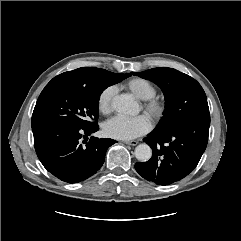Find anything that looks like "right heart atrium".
<instances>
[{
    "mask_svg": "<svg viewBox=\"0 0 241 241\" xmlns=\"http://www.w3.org/2000/svg\"><path fill=\"white\" fill-rule=\"evenodd\" d=\"M115 94L116 88L114 86H108L100 92L97 99V107L102 114L108 115L111 113Z\"/></svg>",
    "mask_w": 241,
    "mask_h": 241,
    "instance_id": "obj_1",
    "label": "right heart atrium"
}]
</instances>
